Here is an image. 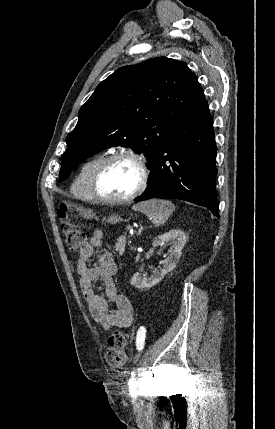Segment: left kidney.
I'll list each match as a JSON object with an SVG mask.
<instances>
[{
    "instance_id": "obj_1",
    "label": "left kidney",
    "mask_w": 275,
    "mask_h": 429,
    "mask_svg": "<svg viewBox=\"0 0 275 429\" xmlns=\"http://www.w3.org/2000/svg\"><path fill=\"white\" fill-rule=\"evenodd\" d=\"M185 243L186 235L182 230L179 229H172L162 235L155 237L152 242L153 247L161 246L163 244L172 245L169 255L166 259L160 261L162 268L154 271L150 277L145 278L142 277L139 273H135L131 278V285L138 289H145L159 283L167 273L176 267Z\"/></svg>"
}]
</instances>
